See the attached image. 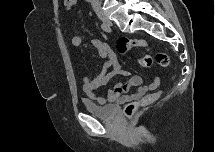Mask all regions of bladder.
<instances>
[{
    "instance_id": "obj_1",
    "label": "bladder",
    "mask_w": 215,
    "mask_h": 152,
    "mask_svg": "<svg viewBox=\"0 0 215 152\" xmlns=\"http://www.w3.org/2000/svg\"><path fill=\"white\" fill-rule=\"evenodd\" d=\"M82 104L87 112L102 119H110L115 114L114 105H101L89 98H83Z\"/></svg>"
}]
</instances>
